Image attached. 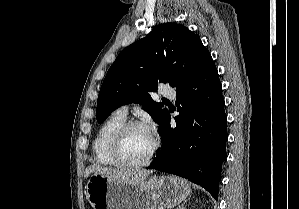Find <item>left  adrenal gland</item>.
<instances>
[{
	"mask_svg": "<svg viewBox=\"0 0 299 209\" xmlns=\"http://www.w3.org/2000/svg\"><path fill=\"white\" fill-rule=\"evenodd\" d=\"M176 209H186V208L184 207V204H182L181 206H178Z\"/></svg>",
	"mask_w": 299,
	"mask_h": 209,
	"instance_id": "a2214340",
	"label": "left adrenal gland"
}]
</instances>
